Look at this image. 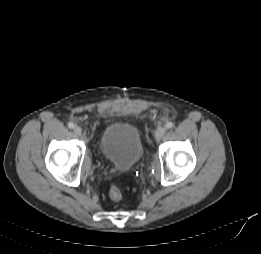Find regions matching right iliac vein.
<instances>
[{
    "instance_id": "obj_1",
    "label": "right iliac vein",
    "mask_w": 261,
    "mask_h": 254,
    "mask_svg": "<svg viewBox=\"0 0 261 254\" xmlns=\"http://www.w3.org/2000/svg\"><path fill=\"white\" fill-rule=\"evenodd\" d=\"M73 131H74V133L77 135V136H81L82 135V129H81V127L80 126H74L73 127Z\"/></svg>"
}]
</instances>
